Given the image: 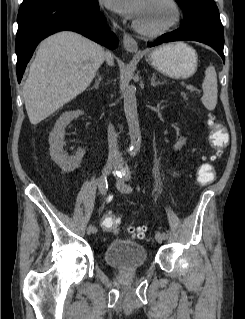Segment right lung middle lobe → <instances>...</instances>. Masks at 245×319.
<instances>
[{
  "mask_svg": "<svg viewBox=\"0 0 245 319\" xmlns=\"http://www.w3.org/2000/svg\"><path fill=\"white\" fill-rule=\"evenodd\" d=\"M49 0H23L22 6H28L32 4L42 3Z\"/></svg>",
  "mask_w": 245,
  "mask_h": 319,
  "instance_id": "obj_1",
  "label": "right lung middle lobe"
}]
</instances>
